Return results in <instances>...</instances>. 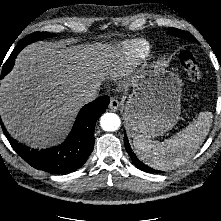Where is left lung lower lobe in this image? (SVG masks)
Here are the masks:
<instances>
[{"label":"left lung lower lobe","instance_id":"left-lung-lower-lobe-1","mask_svg":"<svg viewBox=\"0 0 221 221\" xmlns=\"http://www.w3.org/2000/svg\"><path fill=\"white\" fill-rule=\"evenodd\" d=\"M124 144H125V148H126V151L128 152V154L130 155L134 165L139 168L140 170L144 171V172H147V173H157L158 171L144 165L140 160H138L136 158V156L134 155V153L132 152L131 148H130V145L128 143V139H127V136L126 134L124 135Z\"/></svg>","mask_w":221,"mask_h":221}]
</instances>
